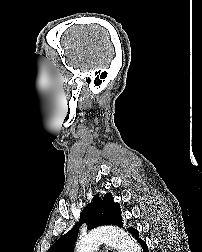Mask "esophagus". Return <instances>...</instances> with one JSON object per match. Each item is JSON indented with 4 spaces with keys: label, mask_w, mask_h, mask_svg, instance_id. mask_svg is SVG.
<instances>
[{
    "label": "esophagus",
    "mask_w": 202,
    "mask_h": 252,
    "mask_svg": "<svg viewBox=\"0 0 202 252\" xmlns=\"http://www.w3.org/2000/svg\"><path fill=\"white\" fill-rule=\"evenodd\" d=\"M104 249H105V252H114V251H112V249L109 248L108 246H105Z\"/></svg>",
    "instance_id": "1"
}]
</instances>
